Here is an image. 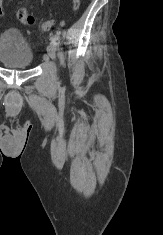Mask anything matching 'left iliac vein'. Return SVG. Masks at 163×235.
<instances>
[{
	"instance_id": "left-iliac-vein-1",
	"label": "left iliac vein",
	"mask_w": 163,
	"mask_h": 235,
	"mask_svg": "<svg viewBox=\"0 0 163 235\" xmlns=\"http://www.w3.org/2000/svg\"><path fill=\"white\" fill-rule=\"evenodd\" d=\"M47 52H48V56L51 58V59H54L55 58V54H56V46L54 44H49L48 47H47Z\"/></svg>"
}]
</instances>
